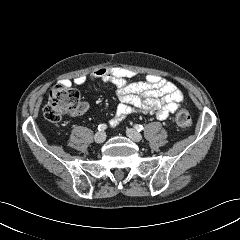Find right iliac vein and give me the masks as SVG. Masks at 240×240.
I'll list each match as a JSON object with an SVG mask.
<instances>
[{
  "label": "right iliac vein",
  "mask_w": 240,
  "mask_h": 240,
  "mask_svg": "<svg viewBox=\"0 0 240 240\" xmlns=\"http://www.w3.org/2000/svg\"><path fill=\"white\" fill-rule=\"evenodd\" d=\"M105 139H106V134L103 131L97 132L94 136V140L96 143H103Z\"/></svg>",
  "instance_id": "1"
}]
</instances>
